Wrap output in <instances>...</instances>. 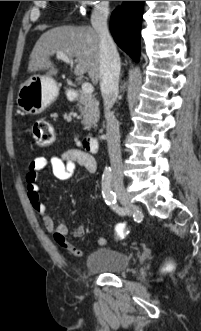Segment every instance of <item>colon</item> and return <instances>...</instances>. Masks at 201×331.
I'll return each instance as SVG.
<instances>
[{
  "label": "colon",
  "mask_w": 201,
  "mask_h": 331,
  "mask_svg": "<svg viewBox=\"0 0 201 331\" xmlns=\"http://www.w3.org/2000/svg\"><path fill=\"white\" fill-rule=\"evenodd\" d=\"M32 137L35 143L39 146H49L56 140V132L52 124L46 119H37L31 127ZM116 232L119 236L126 234V228L122 225L118 226Z\"/></svg>",
  "instance_id": "obj_1"
}]
</instances>
